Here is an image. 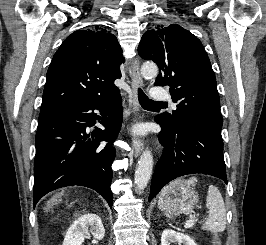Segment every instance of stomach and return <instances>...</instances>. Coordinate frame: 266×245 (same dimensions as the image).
Segmentation results:
<instances>
[{"mask_svg":"<svg viewBox=\"0 0 266 245\" xmlns=\"http://www.w3.org/2000/svg\"><path fill=\"white\" fill-rule=\"evenodd\" d=\"M198 193L193 187L182 183L180 187L171 189L162 199V211L167 215H182V213H191L195 205H197Z\"/></svg>","mask_w":266,"mask_h":245,"instance_id":"stomach-1","label":"stomach"}]
</instances>
